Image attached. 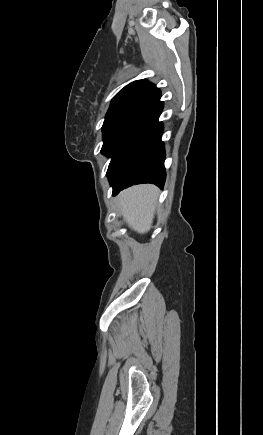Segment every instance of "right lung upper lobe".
Segmentation results:
<instances>
[{
  "label": "right lung upper lobe",
  "mask_w": 263,
  "mask_h": 435,
  "mask_svg": "<svg viewBox=\"0 0 263 435\" xmlns=\"http://www.w3.org/2000/svg\"><path fill=\"white\" fill-rule=\"evenodd\" d=\"M161 94L151 82L143 79L134 81L120 90L111 101L110 106L143 105L145 106Z\"/></svg>",
  "instance_id": "right-lung-upper-lobe-1"
}]
</instances>
